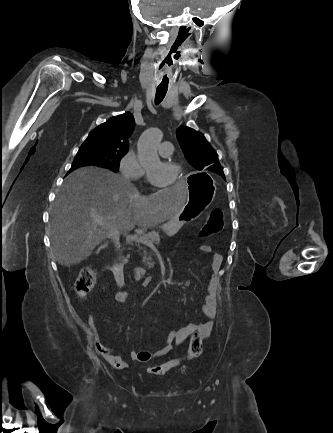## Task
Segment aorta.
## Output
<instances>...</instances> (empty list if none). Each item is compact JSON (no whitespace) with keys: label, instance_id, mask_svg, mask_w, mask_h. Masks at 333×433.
Instances as JSON below:
<instances>
[{"label":"aorta","instance_id":"1","mask_svg":"<svg viewBox=\"0 0 333 433\" xmlns=\"http://www.w3.org/2000/svg\"><path fill=\"white\" fill-rule=\"evenodd\" d=\"M163 138L158 128H149L143 132L138 141V160L143 167H152L160 164L157 147Z\"/></svg>","mask_w":333,"mask_h":433}]
</instances>
